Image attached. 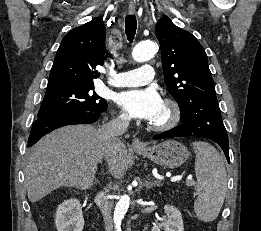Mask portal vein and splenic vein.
I'll return each instance as SVG.
<instances>
[{
  "instance_id": "18ae733b",
  "label": "portal vein and splenic vein",
  "mask_w": 261,
  "mask_h": 231,
  "mask_svg": "<svg viewBox=\"0 0 261 231\" xmlns=\"http://www.w3.org/2000/svg\"><path fill=\"white\" fill-rule=\"evenodd\" d=\"M172 182H174V180H172ZM187 184L193 185V184H194V181L188 179V180H187Z\"/></svg>"
}]
</instances>
